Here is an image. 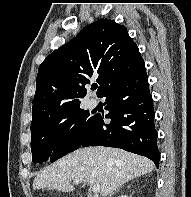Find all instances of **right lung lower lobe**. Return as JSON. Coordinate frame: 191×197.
Wrapping results in <instances>:
<instances>
[{
	"label": "right lung lower lobe",
	"mask_w": 191,
	"mask_h": 197,
	"mask_svg": "<svg viewBox=\"0 0 191 197\" xmlns=\"http://www.w3.org/2000/svg\"><path fill=\"white\" fill-rule=\"evenodd\" d=\"M100 97H106L109 113L105 118L111 123L105 124L100 115H95L81 146L121 148L151 159L158 167V134L145 65L109 85Z\"/></svg>",
	"instance_id": "98d812e1"
}]
</instances>
